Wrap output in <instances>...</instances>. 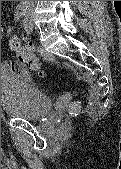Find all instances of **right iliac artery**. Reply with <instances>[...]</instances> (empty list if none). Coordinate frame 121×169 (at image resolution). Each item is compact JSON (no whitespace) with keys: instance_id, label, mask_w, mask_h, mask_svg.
<instances>
[{"instance_id":"right-iliac-artery-1","label":"right iliac artery","mask_w":121,"mask_h":169,"mask_svg":"<svg viewBox=\"0 0 121 169\" xmlns=\"http://www.w3.org/2000/svg\"><path fill=\"white\" fill-rule=\"evenodd\" d=\"M24 15V8L22 5H18L15 10V20L16 22L20 21Z\"/></svg>"}]
</instances>
